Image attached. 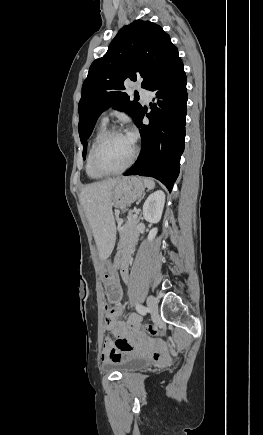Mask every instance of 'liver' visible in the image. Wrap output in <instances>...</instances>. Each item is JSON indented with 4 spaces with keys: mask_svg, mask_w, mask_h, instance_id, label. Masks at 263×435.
Returning a JSON list of instances; mask_svg holds the SVG:
<instances>
[{
    "mask_svg": "<svg viewBox=\"0 0 263 435\" xmlns=\"http://www.w3.org/2000/svg\"><path fill=\"white\" fill-rule=\"evenodd\" d=\"M121 178H111L87 185L80 203L86 213L98 247L99 258L105 261L113 251L116 226L112 211V189Z\"/></svg>",
    "mask_w": 263,
    "mask_h": 435,
    "instance_id": "obj_1",
    "label": "liver"
}]
</instances>
